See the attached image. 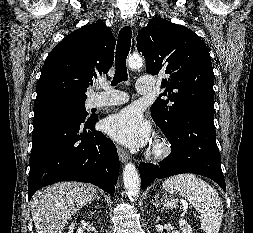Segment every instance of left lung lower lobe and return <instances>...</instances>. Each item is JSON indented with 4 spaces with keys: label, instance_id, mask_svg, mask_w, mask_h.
Listing matches in <instances>:
<instances>
[{
    "label": "left lung lower lobe",
    "instance_id": "left-lung-lower-lobe-1",
    "mask_svg": "<svg viewBox=\"0 0 253 233\" xmlns=\"http://www.w3.org/2000/svg\"><path fill=\"white\" fill-rule=\"evenodd\" d=\"M166 137L172 145L171 154L159 165H139L142 189L156 179L181 173H196L214 180L226 191L213 116L197 114L182 118L177 131Z\"/></svg>",
    "mask_w": 253,
    "mask_h": 233
}]
</instances>
